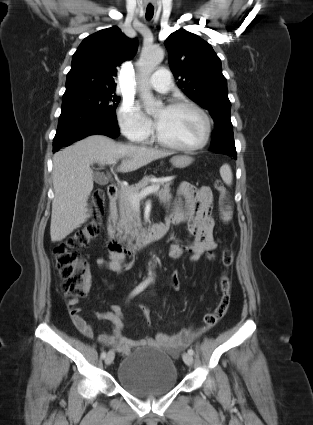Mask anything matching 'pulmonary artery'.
<instances>
[{"label":"pulmonary artery","mask_w":313,"mask_h":425,"mask_svg":"<svg viewBox=\"0 0 313 425\" xmlns=\"http://www.w3.org/2000/svg\"><path fill=\"white\" fill-rule=\"evenodd\" d=\"M148 83L153 89L165 93L172 87L170 72L166 68H159L149 79Z\"/></svg>","instance_id":"obj_1"}]
</instances>
